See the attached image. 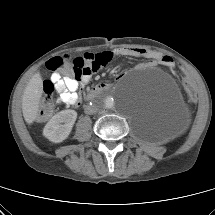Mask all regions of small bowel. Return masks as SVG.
<instances>
[{
  "instance_id": "1",
  "label": "small bowel",
  "mask_w": 215,
  "mask_h": 215,
  "mask_svg": "<svg viewBox=\"0 0 215 215\" xmlns=\"http://www.w3.org/2000/svg\"><path fill=\"white\" fill-rule=\"evenodd\" d=\"M116 57L145 58L147 61L144 65L150 66L157 64L171 66L173 64L171 57L144 48L124 47L99 53H85L79 57L83 64L80 78H76L75 74L71 77L60 76L59 74L52 75L58 93V102L67 106L77 105L80 101L78 90L88 84L94 74Z\"/></svg>"
}]
</instances>
